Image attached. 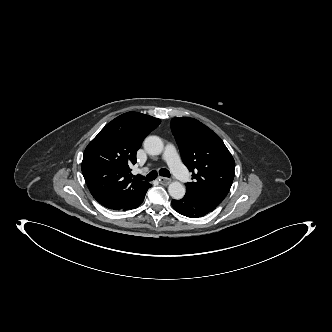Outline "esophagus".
I'll list each match as a JSON object with an SVG mask.
<instances>
[{
  "label": "esophagus",
  "mask_w": 332,
  "mask_h": 332,
  "mask_svg": "<svg viewBox=\"0 0 332 332\" xmlns=\"http://www.w3.org/2000/svg\"><path fill=\"white\" fill-rule=\"evenodd\" d=\"M159 182L163 185H168L171 182V179L165 177H159Z\"/></svg>",
  "instance_id": "1"
}]
</instances>
